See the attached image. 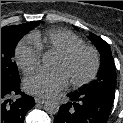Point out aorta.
<instances>
[{
    "mask_svg": "<svg viewBox=\"0 0 123 123\" xmlns=\"http://www.w3.org/2000/svg\"><path fill=\"white\" fill-rule=\"evenodd\" d=\"M43 63L47 64L50 62V55L45 54L42 58ZM60 108V104L56 100H47L44 104V110L51 115L57 114Z\"/></svg>",
    "mask_w": 123,
    "mask_h": 123,
    "instance_id": "aorta-1",
    "label": "aorta"
}]
</instances>
